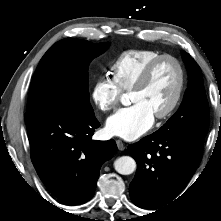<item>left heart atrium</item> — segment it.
I'll list each match as a JSON object with an SVG mask.
<instances>
[{"instance_id": "left-heart-atrium-1", "label": "left heart atrium", "mask_w": 221, "mask_h": 221, "mask_svg": "<svg viewBox=\"0 0 221 221\" xmlns=\"http://www.w3.org/2000/svg\"><path fill=\"white\" fill-rule=\"evenodd\" d=\"M154 115L141 103L120 109L110 116L106 130L110 135L134 140L151 128Z\"/></svg>"}]
</instances>
